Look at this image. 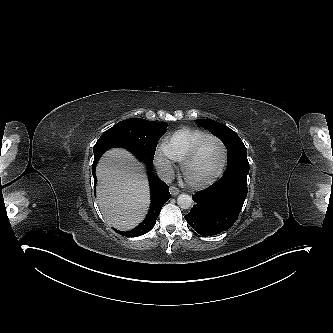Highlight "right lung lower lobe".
<instances>
[{
  "mask_svg": "<svg viewBox=\"0 0 333 333\" xmlns=\"http://www.w3.org/2000/svg\"><path fill=\"white\" fill-rule=\"evenodd\" d=\"M113 147H123L128 151H130L132 154H134L140 161L145 160L148 167L152 166V162L148 161L142 154H140V152L126 138H124L121 135L105 131L94 146V161L92 165V174L94 177V190H96V183H97L95 175L96 164L101 155L105 151ZM148 176L151 188L150 211L145 220L133 230L127 232H121L115 230L121 235L127 237H137L150 231L155 225L156 219L159 216V213L163 205L170 199L168 185L165 184L162 180L156 178L151 172H148Z\"/></svg>",
  "mask_w": 333,
  "mask_h": 333,
  "instance_id": "1",
  "label": "right lung lower lobe"
}]
</instances>
